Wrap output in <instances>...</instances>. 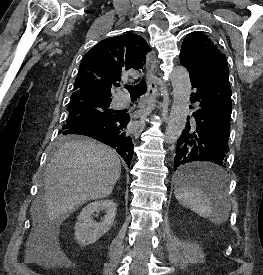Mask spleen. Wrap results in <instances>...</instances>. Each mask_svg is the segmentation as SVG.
Returning <instances> with one entry per match:
<instances>
[{
  "label": "spleen",
  "instance_id": "obj_1",
  "mask_svg": "<svg viewBox=\"0 0 263 275\" xmlns=\"http://www.w3.org/2000/svg\"><path fill=\"white\" fill-rule=\"evenodd\" d=\"M197 167L218 173L222 177L212 199L201 188L191 182H180L174 194L178 202L190 208L193 212L203 218H208L215 224H222L228 218L230 205L228 201L227 174L222 169L213 164L199 163Z\"/></svg>",
  "mask_w": 263,
  "mask_h": 275
}]
</instances>
